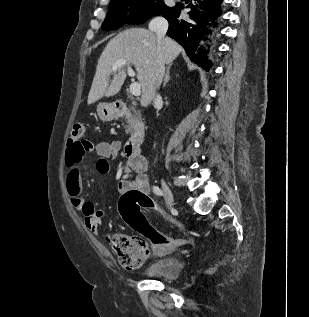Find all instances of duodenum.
<instances>
[{
	"instance_id": "obj_1",
	"label": "duodenum",
	"mask_w": 309,
	"mask_h": 317,
	"mask_svg": "<svg viewBox=\"0 0 309 317\" xmlns=\"http://www.w3.org/2000/svg\"><path fill=\"white\" fill-rule=\"evenodd\" d=\"M114 113L118 117H128L131 115L130 110L124 103H117L114 106ZM144 139L143 131H136L125 145V153L128 157L140 155L141 146Z\"/></svg>"
}]
</instances>
